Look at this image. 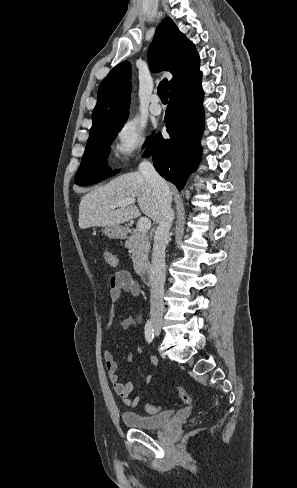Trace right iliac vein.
Listing matches in <instances>:
<instances>
[{"mask_svg":"<svg viewBox=\"0 0 297 488\" xmlns=\"http://www.w3.org/2000/svg\"><path fill=\"white\" fill-rule=\"evenodd\" d=\"M152 326H153L156 334L159 335L160 334V331H161V326H162L161 321L160 320H157V319H154L152 321Z\"/></svg>","mask_w":297,"mask_h":488,"instance_id":"right-iliac-vein-1","label":"right iliac vein"}]
</instances>
